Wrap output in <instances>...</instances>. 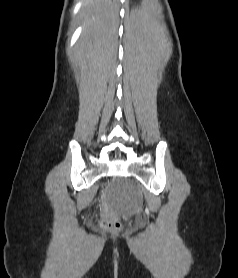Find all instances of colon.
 <instances>
[{
    "label": "colon",
    "mask_w": 238,
    "mask_h": 278,
    "mask_svg": "<svg viewBox=\"0 0 238 278\" xmlns=\"http://www.w3.org/2000/svg\"><path fill=\"white\" fill-rule=\"evenodd\" d=\"M107 190H108L107 186L101 187L100 193L102 197L106 196ZM100 203L103 204V217L101 221V226L105 229H110V230L119 229L121 224L118 218L116 217V215L106 205L107 200L101 199Z\"/></svg>",
    "instance_id": "1"
}]
</instances>
